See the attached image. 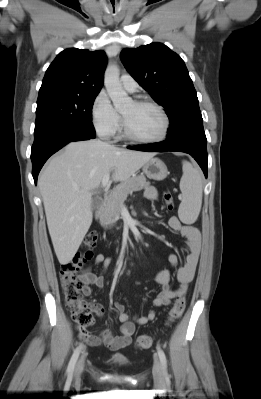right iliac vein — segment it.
<instances>
[{
    "label": "right iliac vein",
    "instance_id": "obj_1",
    "mask_svg": "<svg viewBox=\"0 0 261 399\" xmlns=\"http://www.w3.org/2000/svg\"><path fill=\"white\" fill-rule=\"evenodd\" d=\"M83 367H84V357H81L75 367L74 371L75 376H79L82 373Z\"/></svg>",
    "mask_w": 261,
    "mask_h": 399
}]
</instances>
